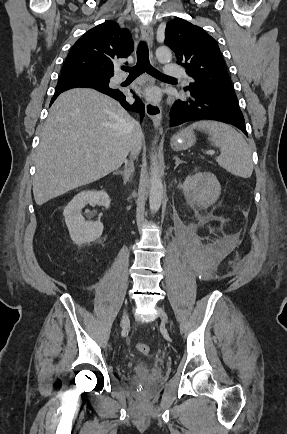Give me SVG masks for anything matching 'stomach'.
Here are the masks:
<instances>
[{
	"label": "stomach",
	"instance_id": "0dacf381",
	"mask_svg": "<svg viewBox=\"0 0 287 434\" xmlns=\"http://www.w3.org/2000/svg\"><path fill=\"white\" fill-rule=\"evenodd\" d=\"M195 142L196 138L191 130H182L172 137L170 145L172 149L182 151L192 147Z\"/></svg>",
	"mask_w": 287,
	"mask_h": 434
}]
</instances>
